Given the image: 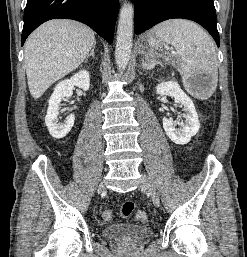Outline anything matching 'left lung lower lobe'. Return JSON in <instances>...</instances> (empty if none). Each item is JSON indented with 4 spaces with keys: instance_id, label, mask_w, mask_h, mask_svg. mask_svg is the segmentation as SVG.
I'll return each instance as SVG.
<instances>
[{
    "instance_id": "0a47b994",
    "label": "left lung lower lobe",
    "mask_w": 247,
    "mask_h": 257,
    "mask_svg": "<svg viewBox=\"0 0 247 257\" xmlns=\"http://www.w3.org/2000/svg\"><path fill=\"white\" fill-rule=\"evenodd\" d=\"M135 34L172 18L189 19L203 26L219 47L217 17L213 0H133Z\"/></svg>"
}]
</instances>
